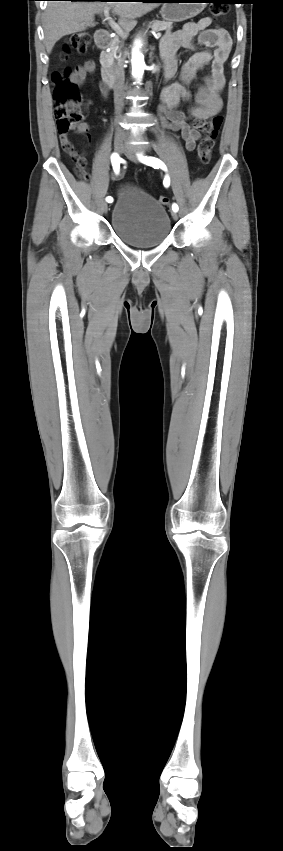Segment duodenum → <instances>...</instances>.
Returning a JSON list of instances; mask_svg holds the SVG:
<instances>
[{"mask_svg": "<svg viewBox=\"0 0 283 851\" xmlns=\"http://www.w3.org/2000/svg\"><path fill=\"white\" fill-rule=\"evenodd\" d=\"M110 40H111V35L108 31H106V30L97 31V33L95 35V43L99 48H101V49L106 48L109 45ZM101 76L103 77V81L105 82V84H107L109 86V89H110V87L114 84V76L112 75L111 70L108 69V68H104L101 71Z\"/></svg>", "mask_w": 283, "mask_h": 851, "instance_id": "1", "label": "duodenum"}]
</instances>
